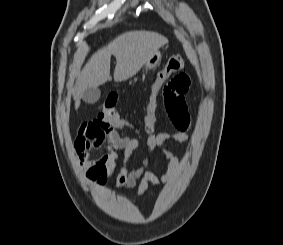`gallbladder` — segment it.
<instances>
[{
  "mask_svg": "<svg viewBox=\"0 0 283 245\" xmlns=\"http://www.w3.org/2000/svg\"><path fill=\"white\" fill-rule=\"evenodd\" d=\"M101 92L96 88H88L84 91L82 95V99L89 104H93L97 102L100 98Z\"/></svg>",
  "mask_w": 283,
  "mask_h": 245,
  "instance_id": "gallbladder-1",
  "label": "gallbladder"
}]
</instances>
